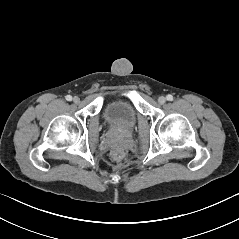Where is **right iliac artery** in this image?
<instances>
[{
    "label": "right iliac artery",
    "instance_id": "1",
    "mask_svg": "<svg viewBox=\"0 0 239 239\" xmlns=\"http://www.w3.org/2000/svg\"><path fill=\"white\" fill-rule=\"evenodd\" d=\"M66 100H67V101H71V100H72V96H71V95H67V96H66Z\"/></svg>",
    "mask_w": 239,
    "mask_h": 239
}]
</instances>
